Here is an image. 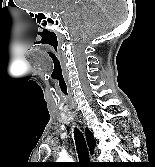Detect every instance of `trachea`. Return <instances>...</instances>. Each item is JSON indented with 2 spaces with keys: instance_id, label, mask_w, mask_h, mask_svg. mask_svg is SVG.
Listing matches in <instances>:
<instances>
[{
  "instance_id": "3493384b",
  "label": "trachea",
  "mask_w": 155,
  "mask_h": 167,
  "mask_svg": "<svg viewBox=\"0 0 155 167\" xmlns=\"http://www.w3.org/2000/svg\"><path fill=\"white\" fill-rule=\"evenodd\" d=\"M75 143L77 148V153L79 157V161L83 163H88L89 160V151L86 145L85 138L78 129L74 131Z\"/></svg>"
}]
</instances>
